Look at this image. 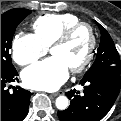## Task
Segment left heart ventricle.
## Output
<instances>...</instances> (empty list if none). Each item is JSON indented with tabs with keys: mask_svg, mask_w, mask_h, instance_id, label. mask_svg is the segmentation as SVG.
Instances as JSON below:
<instances>
[{
	"mask_svg": "<svg viewBox=\"0 0 121 121\" xmlns=\"http://www.w3.org/2000/svg\"><path fill=\"white\" fill-rule=\"evenodd\" d=\"M90 45V37L86 29L77 31L68 42L51 49L53 56L61 57L69 68L78 65L85 58Z\"/></svg>",
	"mask_w": 121,
	"mask_h": 121,
	"instance_id": "1",
	"label": "left heart ventricle"
}]
</instances>
